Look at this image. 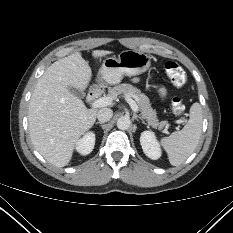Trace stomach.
<instances>
[{
  "mask_svg": "<svg viewBox=\"0 0 233 233\" xmlns=\"http://www.w3.org/2000/svg\"><path fill=\"white\" fill-rule=\"evenodd\" d=\"M151 66L147 54L135 50L122 51L118 57L106 58L98 72V81L115 85L123 76H135L146 72Z\"/></svg>",
  "mask_w": 233,
  "mask_h": 233,
  "instance_id": "1",
  "label": "stomach"
}]
</instances>
